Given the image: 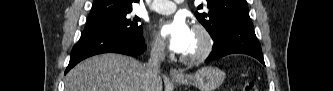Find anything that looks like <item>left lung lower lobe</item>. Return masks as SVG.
I'll use <instances>...</instances> for the list:
<instances>
[{
	"label": "left lung lower lobe",
	"instance_id": "0a47b994",
	"mask_svg": "<svg viewBox=\"0 0 333 91\" xmlns=\"http://www.w3.org/2000/svg\"><path fill=\"white\" fill-rule=\"evenodd\" d=\"M213 50L206 62L233 53L248 54L264 63L259 41L256 38L251 21L239 22L225 27L213 38Z\"/></svg>",
	"mask_w": 333,
	"mask_h": 91
}]
</instances>
